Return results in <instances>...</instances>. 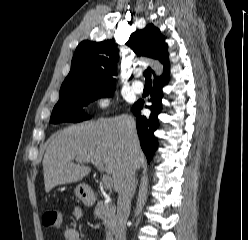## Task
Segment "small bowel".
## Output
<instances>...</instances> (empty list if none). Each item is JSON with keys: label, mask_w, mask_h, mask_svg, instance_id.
Instances as JSON below:
<instances>
[{"label": "small bowel", "mask_w": 248, "mask_h": 240, "mask_svg": "<svg viewBox=\"0 0 248 240\" xmlns=\"http://www.w3.org/2000/svg\"><path fill=\"white\" fill-rule=\"evenodd\" d=\"M75 215L80 218L82 211L79 208L75 209ZM64 240H82L79 232L75 228H67L63 234Z\"/></svg>", "instance_id": "small-bowel-1"}]
</instances>
